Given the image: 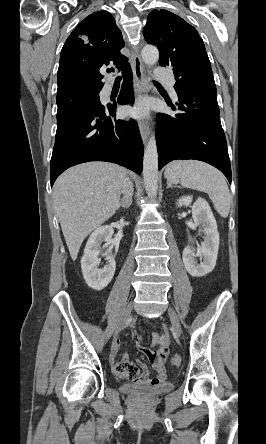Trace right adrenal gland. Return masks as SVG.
I'll return each mask as SVG.
<instances>
[{
    "mask_svg": "<svg viewBox=\"0 0 266 444\" xmlns=\"http://www.w3.org/2000/svg\"><path fill=\"white\" fill-rule=\"evenodd\" d=\"M119 208H123V209H127L128 205L126 204V202L122 199L117 207V209Z\"/></svg>",
    "mask_w": 266,
    "mask_h": 444,
    "instance_id": "obj_1",
    "label": "right adrenal gland"
}]
</instances>
